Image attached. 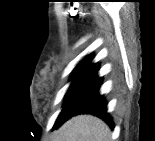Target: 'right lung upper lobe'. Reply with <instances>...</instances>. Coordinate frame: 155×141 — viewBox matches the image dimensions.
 I'll use <instances>...</instances> for the list:
<instances>
[{
	"instance_id": "right-lung-upper-lobe-1",
	"label": "right lung upper lobe",
	"mask_w": 155,
	"mask_h": 141,
	"mask_svg": "<svg viewBox=\"0 0 155 141\" xmlns=\"http://www.w3.org/2000/svg\"><path fill=\"white\" fill-rule=\"evenodd\" d=\"M92 57H85L74 69L75 72H93L96 73L99 69L98 64H91Z\"/></svg>"
}]
</instances>
